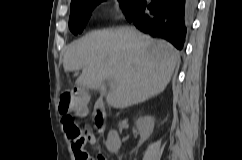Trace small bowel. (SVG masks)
Here are the masks:
<instances>
[{
	"label": "small bowel",
	"instance_id": "obj_1",
	"mask_svg": "<svg viewBox=\"0 0 242 160\" xmlns=\"http://www.w3.org/2000/svg\"><path fill=\"white\" fill-rule=\"evenodd\" d=\"M76 113L79 116H85V115H87L88 111H87V108H85L83 110H78ZM83 146H84V144L81 146V148L79 150V149H76L74 147V145L72 144V148H73V152H74L76 160H79L78 154H79L80 151L85 152L84 149H83Z\"/></svg>",
	"mask_w": 242,
	"mask_h": 160
}]
</instances>
